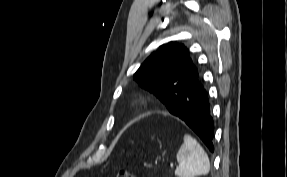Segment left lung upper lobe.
Listing matches in <instances>:
<instances>
[{
  "label": "left lung upper lobe",
  "instance_id": "5c2ea615",
  "mask_svg": "<svg viewBox=\"0 0 287 177\" xmlns=\"http://www.w3.org/2000/svg\"><path fill=\"white\" fill-rule=\"evenodd\" d=\"M134 80L153 92L169 108L170 99L200 81L197 68L183 44L169 42L152 53L134 74Z\"/></svg>",
  "mask_w": 287,
  "mask_h": 177
}]
</instances>
